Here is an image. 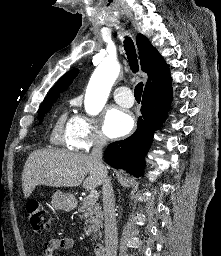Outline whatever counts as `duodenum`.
Returning <instances> with one entry per match:
<instances>
[{"label":"duodenum","mask_w":221,"mask_h":256,"mask_svg":"<svg viewBox=\"0 0 221 256\" xmlns=\"http://www.w3.org/2000/svg\"><path fill=\"white\" fill-rule=\"evenodd\" d=\"M94 253L96 256H105V246L103 243L98 242L94 245Z\"/></svg>","instance_id":"410a0bca"}]
</instances>
